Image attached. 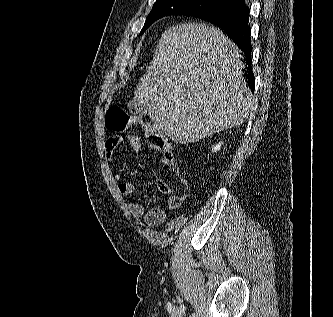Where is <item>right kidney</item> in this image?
Returning a JSON list of instances; mask_svg holds the SVG:
<instances>
[{"label":"right kidney","instance_id":"right-kidney-1","mask_svg":"<svg viewBox=\"0 0 333 317\" xmlns=\"http://www.w3.org/2000/svg\"><path fill=\"white\" fill-rule=\"evenodd\" d=\"M222 144H223L222 142H219V143H217L216 145H213V146H212V152H217V151H219L220 148H221V145H222Z\"/></svg>","mask_w":333,"mask_h":317}]
</instances>
